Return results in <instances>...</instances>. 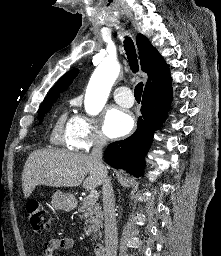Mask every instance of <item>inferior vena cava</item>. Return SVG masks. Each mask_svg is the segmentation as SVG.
<instances>
[{
    "instance_id": "602c4592",
    "label": "inferior vena cava",
    "mask_w": 221,
    "mask_h": 256,
    "mask_svg": "<svg viewBox=\"0 0 221 256\" xmlns=\"http://www.w3.org/2000/svg\"><path fill=\"white\" fill-rule=\"evenodd\" d=\"M106 139L102 135L94 138L91 157L102 174L103 209L105 222V256H117L118 233L115 218V198L107 170L102 164V150Z\"/></svg>"
}]
</instances>
